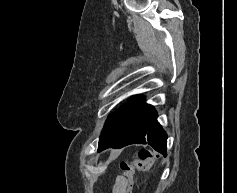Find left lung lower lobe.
<instances>
[{"label":"left lung lower lobe","mask_w":237,"mask_h":193,"mask_svg":"<svg viewBox=\"0 0 237 193\" xmlns=\"http://www.w3.org/2000/svg\"><path fill=\"white\" fill-rule=\"evenodd\" d=\"M130 144H149L166 156L167 134L157 121V112L142 98L118 140L110 147L122 148ZM103 149L99 148L98 152Z\"/></svg>","instance_id":"obj_1"}]
</instances>
